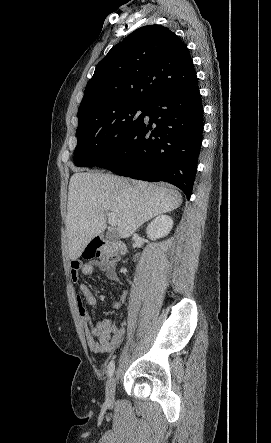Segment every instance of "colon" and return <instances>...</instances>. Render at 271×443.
<instances>
[{
  "label": "colon",
  "mask_w": 271,
  "mask_h": 443,
  "mask_svg": "<svg viewBox=\"0 0 271 443\" xmlns=\"http://www.w3.org/2000/svg\"><path fill=\"white\" fill-rule=\"evenodd\" d=\"M126 247L121 242H106L99 238L91 241L83 252L85 259H101L107 264H113L124 255Z\"/></svg>",
  "instance_id": "5ec220e1"
}]
</instances>
